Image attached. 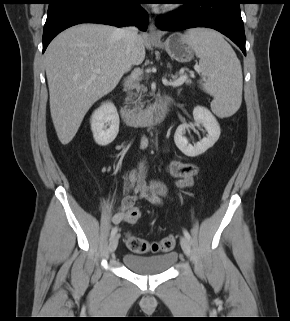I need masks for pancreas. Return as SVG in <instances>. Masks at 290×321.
<instances>
[{
	"label": "pancreas",
	"instance_id": "1",
	"mask_svg": "<svg viewBox=\"0 0 290 321\" xmlns=\"http://www.w3.org/2000/svg\"><path fill=\"white\" fill-rule=\"evenodd\" d=\"M187 84H191V80L186 81ZM137 90H140V87L136 86ZM141 95L139 96L138 100L140 101ZM140 103V102H139ZM141 104V103H140Z\"/></svg>",
	"mask_w": 290,
	"mask_h": 321
}]
</instances>
